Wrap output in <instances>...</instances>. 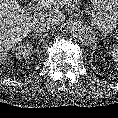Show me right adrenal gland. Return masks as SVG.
I'll use <instances>...</instances> for the list:
<instances>
[{"label":"right adrenal gland","mask_w":118,"mask_h":118,"mask_svg":"<svg viewBox=\"0 0 118 118\" xmlns=\"http://www.w3.org/2000/svg\"><path fill=\"white\" fill-rule=\"evenodd\" d=\"M34 32L36 33L35 38L41 34V32H39V31H34Z\"/></svg>","instance_id":"1"}]
</instances>
